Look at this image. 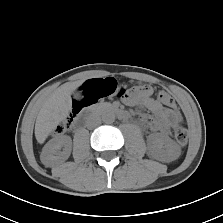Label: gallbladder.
Listing matches in <instances>:
<instances>
[{"label":"gallbladder","instance_id":"bac80fb5","mask_svg":"<svg viewBox=\"0 0 223 223\" xmlns=\"http://www.w3.org/2000/svg\"><path fill=\"white\" fill-rule=\"evenodd\" d=\"M72 95L75 97V98H80L81 97V92L80 91H77V90H74L72 92Z\"/></svg>","mask_w":223,"mask_h":223}]
</instances>
